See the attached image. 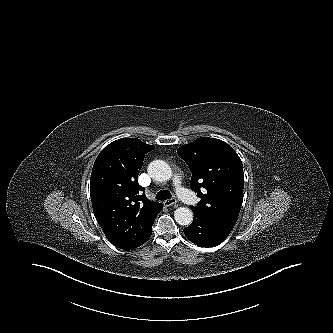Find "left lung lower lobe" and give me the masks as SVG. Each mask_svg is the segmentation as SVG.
<instances>
[{
    "mask_svg": "<svg viewBox=\"0 0 333 333\" xmlns=\"http://www.w3.org/2000/svg\"><path fill=\"white\" fill-rule=\"evenodd\" d=\"M194 220L184 229L186 237L201 247H213L222 243L232 231L233 227L223 224L203 213L192 210Z\"/></svg>",
    "mask_w": 333,
    "mask_h": 333,
    "instance_id": "left-lung-lower-lobe-1",
    "label": "left lung lower lobe"
}]
</instances>
